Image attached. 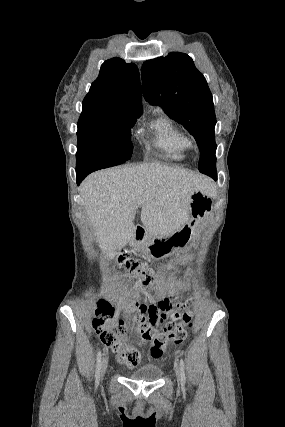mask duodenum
Instances as JSON below:
<instances>
[{
    "label": "duodenum",
    "instance_id": "obj_1",
    "mask_svg": "<svg viewBox=\"0 0 285 427\" xmlns=\"http://www.w3.org/2000/svg\"><path fill=\"white\" fill-rule=\"evenodd\" d=\"M146 241V231L142 226H136L132 230L130 243L143 246Z\"/></svg>",
    "mask_w": 285,
    "mask_h": 427
}]
</instances>
